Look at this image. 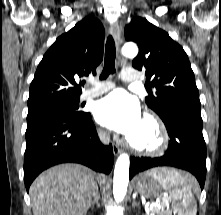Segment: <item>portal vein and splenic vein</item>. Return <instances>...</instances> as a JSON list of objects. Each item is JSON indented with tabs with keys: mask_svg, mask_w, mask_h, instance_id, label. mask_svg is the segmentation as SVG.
<instances>
[{
	"mask_svg": "<svg viewBox=\"0 0 221 215\" xmlns=\"http://www.w3.org/2000/svg\"><path fill=\"white\" fill-rule=\"evenodd\" d=\"M163 204H164V206H167L168 205V201H164ZM156 206L157 207H162V204H157ZM154 208L155 207H150L149 210L152 211Z\"/></svg>",
	"mask_w": 221,
	"mask_h": 215,
	"instance_id": "18ae733b",
	"label": "portal vein and splenic vein"
}]
</instances>
